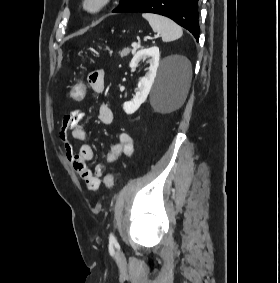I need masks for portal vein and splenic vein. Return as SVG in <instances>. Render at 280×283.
I'll return each mask as SVG.
<instances>
[{
  "mask_svg": "<svg viewBox=\"0 0 280 283\" xmlns=\"http://www.w3.org/2000/svg\"><path fill=\"white\" fill-rule=\"evenodd\" d=\"M159 37V34H156L155 35V38ZM133 48H135L137 46V43L136 42H133L132 45H131Z\"/></svg>",
  "mask_w": 280,
  "mask_h": 283,
  "instance_id": "1",
  "label": "portal vein and splenic vein"
}]
</instances>
